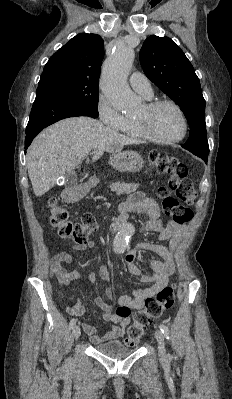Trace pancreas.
I'll return each instance as SVG.
<instances>
[{"label":"pancreas","instance_id":"1","mask_svg":"<svg viewBox=\"0 0 232 399\" xmlns=\"http://www.w3.org/2000/svg\"><path fill=\"white\" fill-rule=\"evenodd\" d=\"M140 184H125V182H114L111 184V192H116V194H131V192H136Z\"/></svg>","mask_w":232,"mask_h":399}]
</instances>
